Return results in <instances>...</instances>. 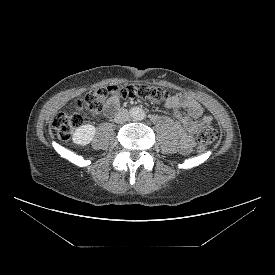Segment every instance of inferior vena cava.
<instances>
[{"label": "inferior vena cava", "instance_id": "obj_1", "mask_svg": "<svg viewBox=\"0 0 275 275\" xmlns=\"http://www.w3.org/2000/svg\"><path fill=\"white\" fill-rule=\"evenodd\" d=\"M129 117V112L127 110H122L115 116L114 120L116 123H123L128 121Z\"/></svg>", "mask_w": 275, "mask_h": 275}]
</instances>
